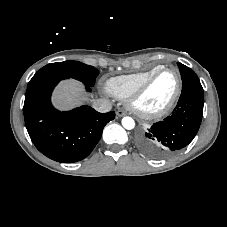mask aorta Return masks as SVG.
<instances>
[{"label":"aorta","instance_id":"762f6f07","mask_svg":"<svg viewBox=\"0 0 227 227\" xmlns=\"http://www.w3.org/2000/svg\"><path fill=\"white\" fill-rule=\"evenodd\" d=\"M122 126L127 130H131L135 127V122L131 117L126 116L122 119Z\"/></svg>","mask_w":227,"mask_h":227}]
</instances>
